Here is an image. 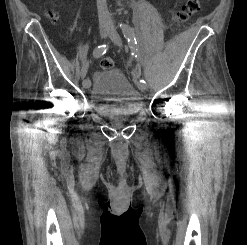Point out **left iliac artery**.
<instances>
[{"label":"left iliac artery","mask_w":247,"mask_h":245,"mask_svg":"<svg viewBox=\"0 0 247 245\" xmlns=\"http://www.w3.org/2000/svg\"><path fill=\"white\" fill-rule=\"evenodd\" d=\"M121 28H122L124 37L127 39L128 44L131 48L132 58H136L137 61H140V55H139V50H138V45H137L138 41L134 35V30L129 25H126V24L121 25ZM139 82H140L139 84L141 85H147L146 81L143 78H140Z\"/></svg>","instance_id":"obj_1"}]
</instances>
